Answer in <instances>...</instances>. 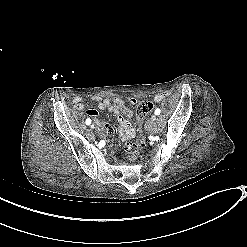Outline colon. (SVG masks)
Listing matches in <instances>:
<instances>
[{
    "instance_id": "colon-1",
    "label": "colon",
    "mask_w": 247,
    "mask_h": 247,
    "mask_svg": "<svg viewBox=\"0 0 247 247\" xmlns=\"http://www.w3.org/2000/svg\"><path fill=\"white\" fill-rule=\"evenodd\" d=\"M153 109V104L149 101H141L137 105V117L139 119L145 117ZM144 146V139L141 130L138 129V135L136 141H129L125 145V150L128 155V159L131 163H136L138 150Z\"/></svg>"
}]
</instances>
